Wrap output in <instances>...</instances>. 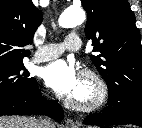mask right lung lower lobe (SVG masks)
<instances>
[{
	"label": "right lung lower lobe",
	"mask_w": 142,
	"mask_h": 128,
	"mask_svg": "<svg viewBox=\"0 0 142 128\" xmlns=\"http://www.w3.org/2000/svg\"><path fill=\"white\" fill-rule=\"evenodd\" d=\"M45 114L57 121L64 117L61 106L45 99L36 84L35 88L22 96L0 97V115Z\"/></svg>",
	"instance_id": "obj_1"
}]
</instances>
